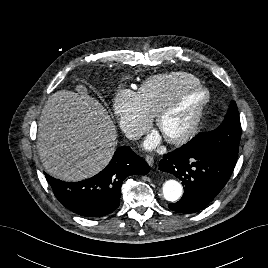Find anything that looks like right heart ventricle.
I'll use <instances>...</instances> for the list:
<instances>
[{
  "label": "right heart ventricle",
  "mask_w": 268,
  "mask_h": 268,
  "mask_svg": "<svg viewBox=\"0 0 268 268\" xmlns=\"http://www.w3.org/2000/svg\"><path fill=\"white\" fill-rule=\"evenodd\" d=\"M200 81L192 74L185 72L161 73L146 79L139 93L151 114L154 116L160 108L187 85H198Z\"/></svg>",
  "instance_id": "obj_1"
}]
</instances>
